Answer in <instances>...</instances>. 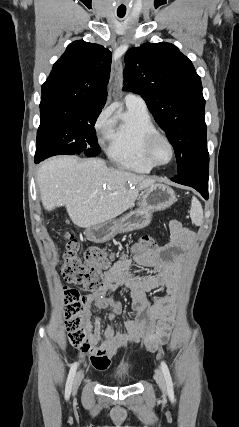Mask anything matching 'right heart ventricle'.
Instances as JSON below:
<instances>
[{
    "label": "right heart ventricle",
    "mask_w": 239,
    "mask_h": 427,
    "mask_svg": "<svg viewBox=\"0 0 239 427\" xmlns=\"http://www.w3.org/2000/svg\"><path fill=\"white\" fill-rule=\"evenodd\" d=\"M157 131L147 109L126 105L124 111L111 119L105 135L107 156L124 169L148 173L154 166L145 156V143Z\"/></svg>",
    "instance_id": "obj_1"
}]
</instances>
